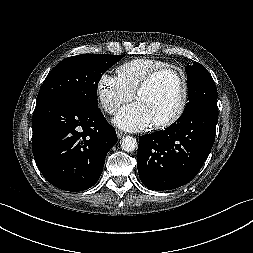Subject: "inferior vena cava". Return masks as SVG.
<instances>
[{"label": "inferior vena cava", "mask_w": 253, "mask_h": 253, "mask_svg": "<svg viewBox=\"0 0 253 253\" xmlns=\"http://www.w3.org/2000/svg\"><path fill=\"white\" fill-rule=\"evenodd\" d=\"M115 111V107L110 108V112H114Z\"/></svg>", "instance_id": "602c4592"}]
</instances>
